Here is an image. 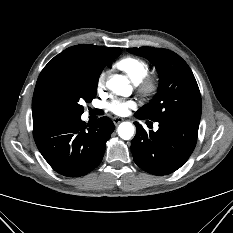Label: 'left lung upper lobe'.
<instances>
[{
  "mask_svg": "<svg viewBox=\"0 0 233 233\" xmlns=\"http://www.w3.org/2000/svg\"><path fill=\"white\" fill-rule=\"evenodd\" d=\"M147 58L158 70L160 84L154 99L136 113L142 118L161 121L168 118H201V96L187 63L176 53L153 47L128 48Z\"/></svg>",
  "mask_w": 233,
  "mask_h": 233,
  "instance_id": "1",
  "label": "left lung upper lobe"
}]
</instances>
